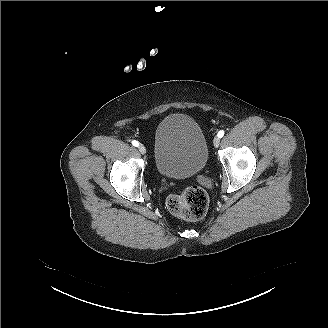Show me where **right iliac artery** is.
Listing matches in <instances>:
<instances>
[{
    "mask_svg": "<svg viewBox=\"0 0 328 328\" xmlns=\"http://www.w3.org/2000/svg\"><path fill=\"white\" fill-rule=\"evenodd\" d=\"M132 145L135 146V147H138L139 146V142L136 141V140H133L132 141Z\"/></svg>",
    "mask_w": 328,
    "mask_h": 328,
    "instance_id": "82829eb1",
    "label": "right iliac artery"
}]
</instances>
